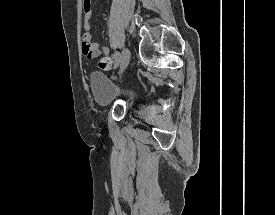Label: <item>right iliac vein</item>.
Instances as JSON below:
<instances>
[{
    "instance_id": "right-iliac-vein-1",
    "label": "right iliac vein",
    "mask_w": 275,
    "mask_h": 215,
    "mask_svg": "<svg viewBox=\"0 0 275 215\" xmlns=\"http://www.w3.org/2000/svg\"><path fill=\"white\" fill-rule=\"evenodd\" d=\"M130 61V52L128 49H124L122 52V55L120 57L119 63H120V70L119 73H123L126 67L128 66Z\"/></svg>"
}]
</instances>
